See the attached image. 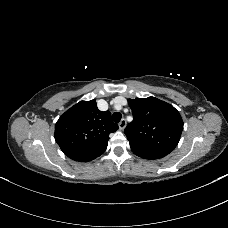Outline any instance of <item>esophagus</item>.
Masks as SVG:
<instances>
[{
	"mask_svg": "<svg viewBox=\"0 0 228 228\" xmlns=\"http://www.w3.org/2000/svg\"><path fill=\"white\" fill-rule=\"evenodd\" d=\"M126 124H127V122H126V120L125 119H122L120 122H119V129L120 130H123L125 127H126Z\"/></svg>",
	"mask_w": 228,
	"mask_h": 228,
	"instance_id": "obj_1",
	"label": "esophagus"
}]
</instances>
